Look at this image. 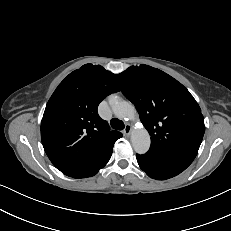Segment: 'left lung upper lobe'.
<instances>
[{
	"label": "left lung upper lobe",
	"instance_id": "left-lung-upper-lobe-1",
	"mask_svg": "<svg viewBox=\"0 0 231 231\" xmlns=\"http://www.w3.org/2000/svg\"><path fill=\"white\" fill-rule=\"evenodd\" d=\"M116 77L151 135L147 153L192 163L205 125L190 92L170 75L144 64L131 66Z\"/></svg>",
	"mask_w": 231,
	"mask_h": 231
}]
</instances>
